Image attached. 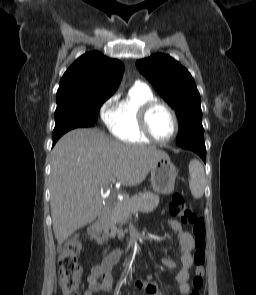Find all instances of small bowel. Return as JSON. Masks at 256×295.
Instances as JSON below:
<instances>
[{
	"mask_svg": "<svg viewBox=\"0 0 256 295\" xmlns=\"http://www.w3.org/2000/svg\"><path fill=\"white\" fill-rule=\"evenodd\" d=\"M168 225L175 233L178 239V252L180 256V267L176 262L167 257L163 260V264L168 269H177L176 282L178 284V294L187 295L190 286L189 270L192 266L191 250L193 248V237L182 227L175 219L169 218ZM122 256L121 250L112 251L104 261L91 268L87 276L88 287L84 295H93L97 292L110 291L113 288V268ZM134 289L144 290L148 295H162L156 283L147 278L136 279L132 282Z\"/></svg>",
	"mask_w": 256,
	"mask_h": 295,
	"instance_id": "c3829d8e",
	"label": "small bowel"
}]
</instances>
